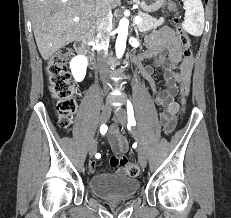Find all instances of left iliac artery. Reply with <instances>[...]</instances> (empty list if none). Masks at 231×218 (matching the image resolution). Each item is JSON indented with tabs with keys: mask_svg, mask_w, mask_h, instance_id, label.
Returning a JSON list of instances; mask_svg holds the SVG:
<instances>
[{
	"mask_svg": "<svg viewBox=\"0 0 231 218\" xmlns=\"http://www.w3.org/2000/svg\"><path fill=\"white\" fill-rule=\"evenodd\" d=\"M127 114H128V124L132 126L136 125V121L134 119L133 106L129 100L127 101Z\"/></svg>",
	"mask_w": 231,
	"mask_h": 218,
	"instance_id": "left-iliac-artery-1",
	"label": "left iliac artery"
}]
</instances>
